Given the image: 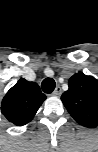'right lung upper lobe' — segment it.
Segmentation results:
<instances>
[{
	"label": "right lung upper lobe",
	"mask_w": 98,
	"mask_h": 152,
	"mask_svg": "<svg viewBox=\"0 0 98 152\" xmlns=\"http://www.w3.org/2000/svg\"><path fill=\"white\" fill-rule=\"evenodd\" d=\"M46 95L35 82L21 78L4 96L1 102V113L16 126L30 122Z\"/></svg>",
	"instance_id": "right-lung-upper-lobe-1"
}]
</instances>
